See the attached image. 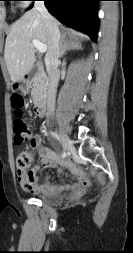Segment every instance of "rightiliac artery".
<instances>
[{"instance_id": "82829eb1", "label": "right iliac artery", "mask_w": 133, "mask_h": 253, "mask_svg": "<svg viewBox=\"0 0 133 253\" xmlns=\"http://www.w3.org/2000/svg\"><path fill=\"white\" fill-rule=\"evenodd\" d=\"M51 135L54 137V138H56L57 140H59L60 141V138H59V136L56 134V133H54V132H51ZM65 152L64 153H62V157H65Z\"/></svg>"}]
</instances>
